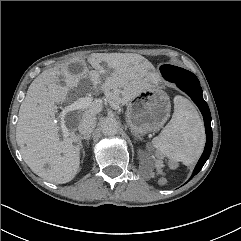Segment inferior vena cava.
Wrapping results in <instances>:
<instances>
[{
	"instance_id": "inferior-vena-cava-1",
	"label": "inferior vena cava",
	"mask_w": 241,
	"mask_h": 241,
	"mask_svg": "<svg viewBox=\"0 0 241 241\" xmlns=\"http://www.w3.org/2000/svg\"><path fill=\"white\" fill-rule=\"evenodd\" d=\"M96 116L92 113H84L78 125V131L83 135H89L96 126Z\"/></svg>"
}]
</instances>
